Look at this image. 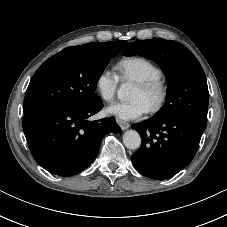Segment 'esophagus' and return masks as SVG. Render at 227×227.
I'll return each mask as SVG.
<instances>
[{
  "label": "esophagus",
  "mask_w": 227,
  "mask_h": 227,
  "mask_svg": "<svg viewBox=\"0 0 227 227\" xmlns=\"http://www.w3.org/2000/svg\"><path fill=\"white\" fill-rule=\"evenodd\" d=\"M117 124L120 126L122 130H126L129 128L130 124L128 122L122 121L120 119L116 120Z\"/></svg>",
  "instance_id": "34e87169"
}]
</instances>
